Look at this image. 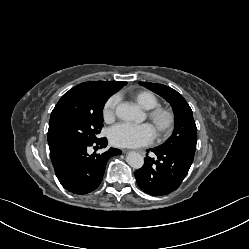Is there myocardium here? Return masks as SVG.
<instances>
[{"instance_id":"obj_1","label":"myocardium","mask_w":249,"mask_h":249,"mask_svg":"<svg viewBox=\"0 0 249 249\" xmlns=\"http://www.w3.org/2000/svg\"><path fill=\"white\" fill-rule=\"evenodd\" d=\"M147 116L159 136L166 137L172 133L176 116L171 109L156 106L148 111Z\"/></svg>"}]
</instances>
